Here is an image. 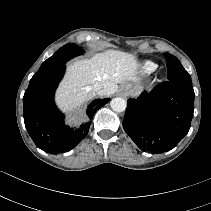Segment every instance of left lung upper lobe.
<instances>
[{"label":"left lung upper lobe","instance_id":"5c2ea615","mask_svg":"<svg viewBox=\"0 0 211 211\" xmlns=\"http://www.w3.org/2000/svg\"><path fill=\"white\" fill-rule=\"evenodd\" d=\"M168 69V80H183L191 82L190 75L181 65L180 61L169 53L164 54Z\"/></svg>","mask_w":211,"mask_h":211}]
</instances>
